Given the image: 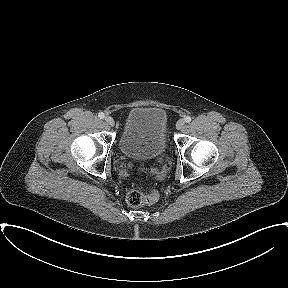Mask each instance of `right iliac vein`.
<instances>
[{
	"label": "right iliac vein",
	"instance_id": "63e3f726",
	"mask_svg": "<svg viewBox=\"0 0 288 288\" xmlns=\"http://www.w3.org/2000/svg\"><path fill=\"white\" fill-rule=\"evenodd\" d=\"M105 121L108 125L113 126L114 125V119L111 116H106Z\"/></svg>",
	"mask_w": 288,
	"mask_h": 288
}]
</instances>
